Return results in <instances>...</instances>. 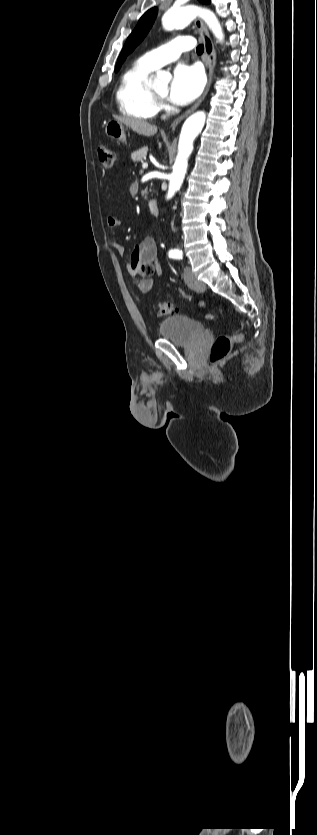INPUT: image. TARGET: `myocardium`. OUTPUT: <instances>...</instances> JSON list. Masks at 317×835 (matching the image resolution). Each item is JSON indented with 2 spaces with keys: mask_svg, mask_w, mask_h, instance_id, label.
I'll return each instance as SVG.
<instances>
[{
  "mask_svg": "<svg viewBox=\"0 0 317 835\" xmlns=\"http://www.w3.org/2000/svg\"><path fill=\"white\" fill-rule=\"evenodd\" d=\"M151 92H152L153 97H154V98H155L158 102L163 101V100L165 99V96H162V95L158 94L156 91H154V89H151Z\"/></svg>",
  "mask_w": 317,
  "mask_h": 835,
  "instance_id": "obj_1",
  "label": "myocardium"
}]
</instances>
